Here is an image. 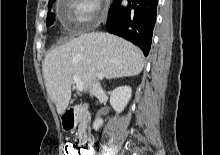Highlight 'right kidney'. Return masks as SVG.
Listing matches in <instances>:
<instances>
[{
	"label": "right kidney",
	"instance_id": "1",
	"mask_svg": "<svg viewBox=\"0 0 220 155\" xmlns=\"http://www.w3.org/2000/svg\"><path fill=\"white\" fill-rule=\"evenodd\" d=\"M132 90L129 86H120L115 88L110 96V104L117 113L124 110L131 98ZM103 125L101 118H96L93 123V129L98 130Z\"/></svg>",
	"mask_w": 220,
	"mask_h": 155
}]
</instances>
